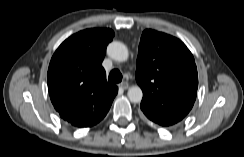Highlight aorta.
Here are the masks:
<instances>
[{
	"label": "aorta",
	"instance_id": "aorta-1",
	"mask_svg": "<svg viewBox=\"0 0 244 157\" xmlns=\"http://www.w3.org/2000/svg\"><path fill=\"white\" fill-rule=\"evenodd\" d=\"M107 54L110 58L118 62H124L129 57L127 47L118 41L111 42L108 45ZM128 97L131 102L139 103L142 100L143 92L139 86H132L128 90Z\"/></svg>",
	"mask_w": 244,
	"mask_h": 157
}]
</instances>
